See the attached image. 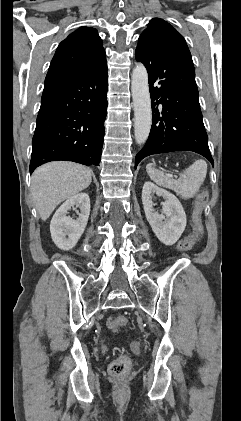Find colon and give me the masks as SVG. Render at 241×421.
<instances>
[{"label": "colon", "mask_w": 241, "mask_h": 421, "mask_svg": "<svg viewBox=\"0 0 241 421\" xmlns=\"http://www.w3.org/2000/svg\"><path fill=\"white\" fill-rule=\"evenodd\" d=\"M208 200L206 192H202L196 201L193 212V232L182 238L177 246L178 251L186 252L190 250L196 239V234L202 229V215ZM128 323V319L123 315H118L114 318L113 324L115 327H123ZM130 367V359L124 354H119L109 365V373L114 377L123 376Z\"/></svg>", "instance_id": "obj_1"}]
</instances>
